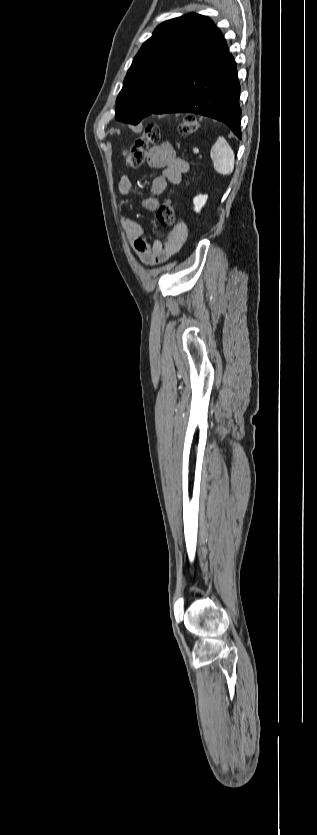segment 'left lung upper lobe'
<instances>
[{
  "label": "left lung upper lobe",
  "instance_id": "5c2ea615",
  "mask_svg": "<svg viewBox=\"0 0 317 835\" xmlns=\"http://www.w3.org/2000/svg\"><path fill=\"white\" fill-rule=\"evenodd\" d=\"M217 30L211 19L195 13L159 25L127 72L116 100V119L136 125L164 104Z\"/></svg>",
  "mask_w": 317,
  "mask_h": 835
}]
</instances>
